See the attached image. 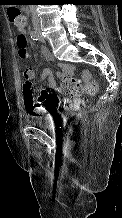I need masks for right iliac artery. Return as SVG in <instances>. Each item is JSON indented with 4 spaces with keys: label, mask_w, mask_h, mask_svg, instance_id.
Masks as SVG:
<instances>
[{
    "label": "right iliac artery",
    "mask_w": 122,
    "mask_h": 218,
    "mask_svg": "<svg viewBox=\"0 0 122 218\" xmlns=\"http://www.w3.org/2000/svg\"><path fill=\"white\" fill-rule=\"evenodd\" d=\"M31 38L35 41H37L39 39V35L36 32H31Z\"/></svg>",
    "instance_id": "right-iliac-artery-1"
}]
</instances>
